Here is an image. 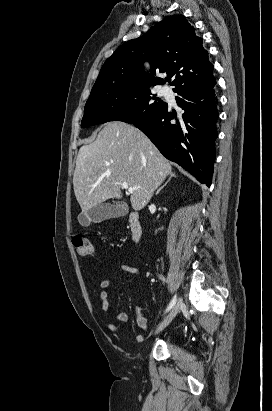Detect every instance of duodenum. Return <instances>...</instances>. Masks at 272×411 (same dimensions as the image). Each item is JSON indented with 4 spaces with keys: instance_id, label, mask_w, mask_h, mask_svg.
Returning <instances> with one entry per match:
<instances>
[{
    "instance_id": "obj_1",
    "label": "duodenum",
    "mask_w": 272,
    "mask_h": 411,
    "mask_svg": "<svg viewBox=\"0 0 272 411\" xmlns=\"http://www.w3.org/2000/svg\"><path fill=\"white\" fill-rule=\"evenodd\" d=\"M128 227L131 239L138 243L143 239V228L136 212H131L128 216Z\"/></svg>"
}]
</instances>
